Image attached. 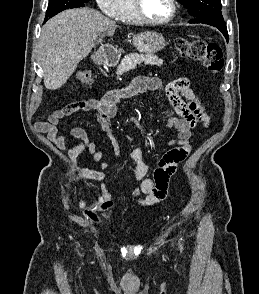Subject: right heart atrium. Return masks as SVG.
Masks as SVG:
<instances>
[{"mask_svg":"<svg viewBox=\"0 0 259 294\" xmlns=\"http://www.w3.org/2000/svg\"><path fill=\"white\" fill-rule=\"evenodd\" d=\"M123 0H96L97 6L101 10V12L112 18H117Z\"/></svg>","mask_w":259,"mask_h":294,"instance_id":"right-heart-atrium-1","label":"right heart atrium"}]
</instances>
